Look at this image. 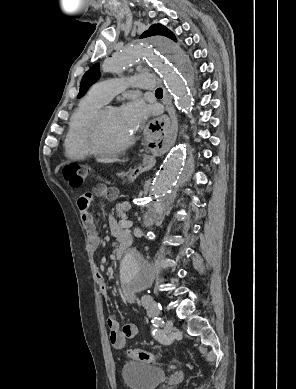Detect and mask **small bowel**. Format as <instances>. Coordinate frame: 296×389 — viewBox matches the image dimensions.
<instances>
[{
	"instance_id": "small-bowel-1",
	"label": "small bowel",
	"mask_w": 296,
	"mask_h": 389,
	"mask_svg": "<svg viewBox=\"0 0 296 389\" xmlns=\"http://www.w3.org/2000/svg\"><path fill=\"white\" fill-rule=\"evenodd\" d=\"M118 190L114 187H107L105 185L96 186L92 192L81 195L77 201L80 211V217L82 223L87 231L90 247L93 251H96L100 245V238L97 233L95 223L89 207L91 206L95 197H103L107 200H112L117 197ZM110 229L113 235L119 240L122 236L129 235V233L121 229L116 221L112 218L110 220ZM97 279L100 283L101 294L106 298L108 296V286L104 281V278L100 272H97ZM142 306L150 314L155 313V303L153 300L145 295L140 299ZM107 326L109 328V341L111 345L116 349H122L125 347L128 340L136 338L138 329L135 324L128 323L120 328L119 321L114 317H108Z\"/></svg>"
}]
</instances>
